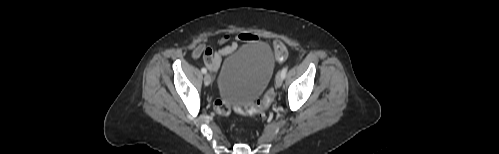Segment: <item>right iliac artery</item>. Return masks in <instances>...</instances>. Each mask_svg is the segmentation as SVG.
I'll list each match as a JSON object with an SVG mask.
<instances>
[{
  "instance_id": "obj_1",
  "label": "right iliac artery",
  "mask_w": 499,
  "mask_h": 154,
  "mask_svg": "<svg viewBox=\"0 0 499 154\" xmlns=\"http://www.w3.org/2000/svg\"><path fill=\"white\" fill-rule=\"evenodd\" d=\"M201 71H202V73H204V74L207 72V70H206L205 68H202V69H201Z\"/></svg>"
}]
</instances>
